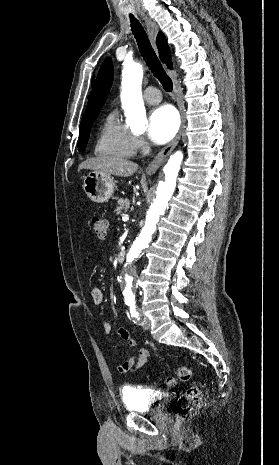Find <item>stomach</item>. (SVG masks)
Instances as JSON below:
<instances>
[{"instance_id": "1", "label": "stomach", "mask_w": 279, "mask_h": 465, "mask_svg": "<svg viewBox=\"0 0 279 465\" xmlns=\"http://www.w3.org/2000/svg\"><path fill=\"white\" fill-rule=\"evenodd\" d=\"M83 190L93 202H107L114 192L113 178L110 175L92 171L84 177Z\"/></svg>"}]
</instances>
